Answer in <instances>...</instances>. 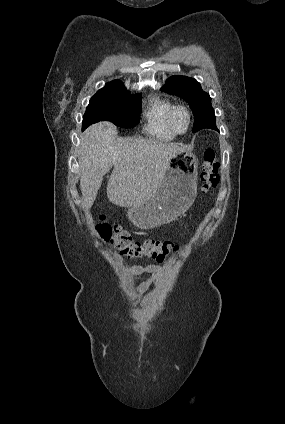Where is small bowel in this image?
Wrapping results in <instances>:
<instances>
[{
    "instance_id": "small-bowel-1",
    "label": "small bowel",
    "mask_w": 285,
    "mask_h": 424,
    "mask_svg": "<svg viewBox=\"0 0 285 424\" xmlns=\"http://www.w3.org/2000/svg\"><path fill=\"white\" fill-rule=\"evenodd\" d=\"M128 273L131 275H148V278L142 281L136 289L137 294L143 295L142 308L147 309L155 298L157 286L152 288L151 284L160 277L161 267L157 265L132 266L128 268Z\"/></svg>"
}]
</instances>
